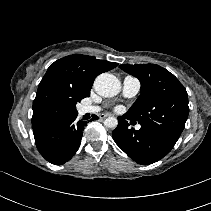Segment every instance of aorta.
<instances>
[{
  "mask_svg": "<svg viewBox=\"0 0 211 211\" xmlns=\"http://www.w3.org/2000/svg\"><path fill=\"white\" fill-rule=\"evenodd\" d=\"M95 91L102 97H113L121 90V83L118 78L110 73L98 75L94 81ZM118 120L115 117H108L104 125L108 128H115Z\"/></svg>",
  "mask_w": 211,
  "mask_h": 211,
  "instance_id": "1",
  "label": "aorta"
}]
</instances>
